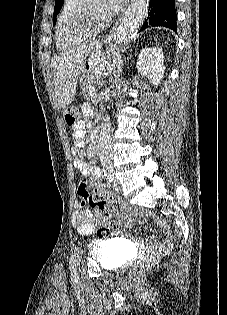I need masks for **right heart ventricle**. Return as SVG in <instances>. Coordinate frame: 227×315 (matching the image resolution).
I'll use <instances>...</instances> for the list:
<instances>
[{"mask_svg": "<svg viewBox=\"0 0 227 315\" xmlns=\"http://www.w3.org/2000/svg\"><path fill=\"white\" fill-rule=\"evenodd\" d=\"M83 0H64L56 24L55 41L59 50H67L89 40L94 35L73 37L69 32L71 21Z\"/></svg>", "mask_w": 227, "mask_h": 315, "instance_id": "1", "label": "right heart ventricle"}]
</instances>
